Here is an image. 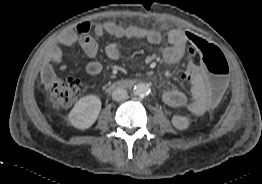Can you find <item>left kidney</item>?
Segmentation results:
<instances>
[{"instance_id":"5707ae66","label":"left kidney","mask_w":262,"mask_h":184,"mask_svg":"<svg viewBox=\"0 0 262 184\" xmlns=\"http://www.w3.org/2000/svg\"><path fill=\"white\" fill-rule=\"evenodd\" d=\"M172 124L178 130H185L190 126L189 119L180 115H175L172 117Z\"/></svg>"}]
</instances>
